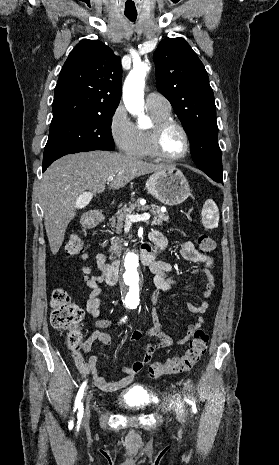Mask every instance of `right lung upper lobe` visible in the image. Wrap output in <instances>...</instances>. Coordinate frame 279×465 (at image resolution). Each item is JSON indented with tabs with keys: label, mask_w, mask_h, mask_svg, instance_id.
<instances>
[{
	"label": "right lung upper lobe",
	"mask_w": 279,
	"mask_h": 465,
	"mask_svg": "<svg viewBox=\"0 0 279 465\" xmlns=\"http://www.w3.org/2000/svg\"><path fill=\"white\" fill-rule=\"evenodd\" d=\"M120 57L99 40H81L55 87L51 124L116 110L121 97Z\"/></svg>",
	"instance_id": "obj_1"
}]
</instances>
